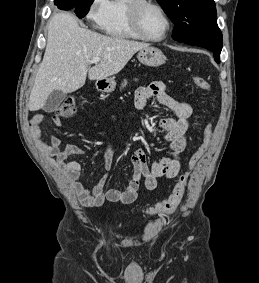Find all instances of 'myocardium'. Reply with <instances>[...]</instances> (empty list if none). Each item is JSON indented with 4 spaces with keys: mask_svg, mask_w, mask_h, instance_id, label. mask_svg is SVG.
<instances>
[{
    "mask_svg": "<svg viewBox=\"0 0 259 283\" xmlns=\"http://www.w3.org/2000/svg\"><path fill=\"white\" fill-rule=\"evenodd\" d=\"M155 8L157 9L165 18L167 23V29L165 34L160 38H153L148 36L142 26V14L146 8ZM128 14L132 29L134 32L142 39L149 41V42H162L169 36L171 29H172V20L165 10V8L152 0H132V2L128 6Z\"/></svg>",
    "mask_w": 259,
    "mask_h": 283,
    "instance_id": "obj_1",
    "label": "myocardium"
}]
</instances>
